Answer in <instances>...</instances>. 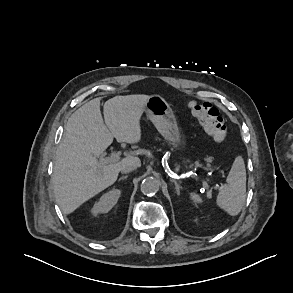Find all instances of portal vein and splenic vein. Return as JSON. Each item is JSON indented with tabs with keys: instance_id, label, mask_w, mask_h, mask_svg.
<instances>
[{
	"instance_id": "1",
	"label": "portal vein and splenic vein",
	"mask_w": 293,
	"mask_h": 293,
	"mask_svg": "<svg viewBox=\"0 0 293 293\" xmlns=\"http://www.w3.org/2000/svg\"><path fill=\"white\" fill-rule=\"evenodd\" d=\"M99 160H100V163L103 165L113 163V162H118L120 160V155L117 152H112L109 157H100ZM203 186L205 188H208V184L205 181H203Z\"/></svg>"
}]
</instances>
